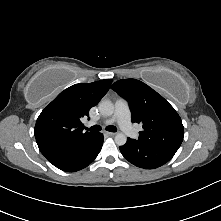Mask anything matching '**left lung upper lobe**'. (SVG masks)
<instances>
[{
    "label": "left lung upper lobe",
    "mask_w": 221,
    "mask_h": 221,
    "mask_svg": "<svg viewBox=\"0 0 221 221\" xmlns=\"http://www.w3.org/2000/svg\"><path fill=\"white\" fill-rule=\"evenodd\" d=\"M111 88L128 101L132 122L140 123L143 127L136 141L144 145L178 150L184 128L180 116L168 101L136 79L119 80Z\"/></svg>",
    "instance_id": "obj_1"
}]
</instances>
